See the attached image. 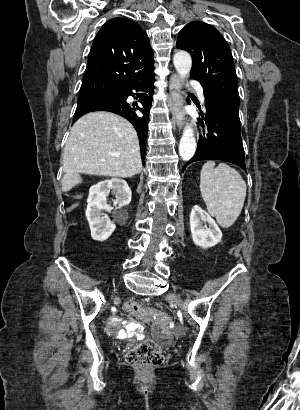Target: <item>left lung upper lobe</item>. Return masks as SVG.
<instances>
[{
    "label": "left lung upper lobe",
    "mask_w": 300,
    "mask_h": 410,
    "mask_svg": "<svg viewBox=\"0 0 300 410\" xmlns=\"http://www.w3.org/2000/svg\"><path fill=\"white\" fill-rule=\"evenodd\" d=\"M176 46L191 54L190 77L201 83L207 96L239 107L233 57L227 42L215 27L204 22H191L180 31Z\"/></svg>",
    "instance_id": "left-lung-upper-lobe-1"
}]
</instances>
